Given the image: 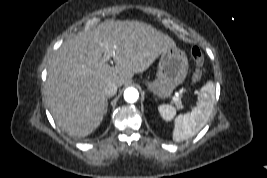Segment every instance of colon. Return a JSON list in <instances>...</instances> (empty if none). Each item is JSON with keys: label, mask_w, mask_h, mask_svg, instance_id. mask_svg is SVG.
Returning a JSON list of instances; mask_svg holds the SVG:
<instances>
[{"label": "colon", "mask_w": 267, "mask_h": 178, "mask_svg": "<svg viewBox=\"0 0 267 178\" xmlns=\"http://www.w3.org/2000/svg\"><path fill=\"white\" fill-rule=\"evenodd\" d=\"M190 56L196 65V69H195V72L193 74V79L195 81H198L202 77V74H203L202 65L204 62V56H203L202 51L198 47H192L191 48Z\"/></svg>", "instance_id": "obj_1"}]
</instances>
